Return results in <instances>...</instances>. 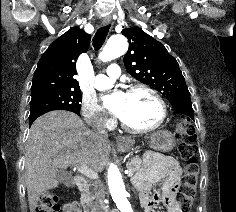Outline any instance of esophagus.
I'll return each instance as SVG.
<instances>
[{
  "label": "esophagus",
  "mask_w": 236,
  "mask_h": 212,
  "mask_svg": "<svg viewBox=\"0 0 236 212\" xmlns=\"http://www.w3.org/2000/svg\"><path fill=\"white\" fill-rule=\"evenodd\" d=\"M102 23H103L104 25H109V24H111V23H112V17H111V16H105V17L103 18ZM116 141H117V143H123V142L126 141V138H124V137H122V136H117V137H116Z\"/></svg>",
  "instance_id": "1"
}]
</instances>
